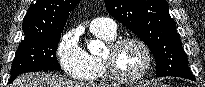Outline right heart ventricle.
<instances>
[{"mask_svg": "<svg viewBox=\"0 0 205 87\" xmlns=\"http://www.w3.org/2000/svg\"><path fill=\"white\" fill-rule=\"evenodd\" d=\"M92 33L96 35L98 38L106 42H111L116 38V33L109 34L104 32H93V31ZM87 57H88L89 70L83 77L79 79L85 82L104 81L108 79L100 57L95 54H87Z\"/></svg>", "mask_w": 205, "mask_h": 87, "instance_id": "right-heart-ventricle-1", "label": "right heart ventricle"}]
</instances>
